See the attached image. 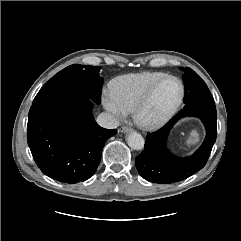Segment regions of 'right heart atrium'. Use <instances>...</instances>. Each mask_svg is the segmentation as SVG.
<instances>
[{
	"instance_id": "right-heart-atrium-1",
	"label": "right heart atrium",
	"mask_w": 241,
	"mask_h": 241,
	"mask_svg": "<svg viewBox=\"0 0 241 241\" xmlns=\"http://www.w3.org/2000/svg\"><path fill=\"white\" fill-rule=\"evenodd\" d=\"M102 104L104 108L115 118H123L127 110L119 103L111 90H104L102 93Z\"/></svg>"
}]
</instances>
